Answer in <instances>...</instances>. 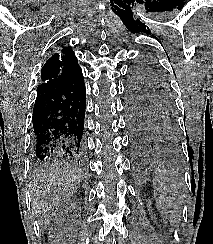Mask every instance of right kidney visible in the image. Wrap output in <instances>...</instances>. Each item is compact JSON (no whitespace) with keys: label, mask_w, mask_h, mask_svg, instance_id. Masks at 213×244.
<instances>
[{"label":"right kidney","mask_w":213,"mask_h":244,"mask_svg":"<svg viewBox=\"0 0 213 244\" xmlns=\"http://www.w3.org/2000/svg\"><path fill=\"white\" fill-rule=\"evenodd\" d=\"M80 204L81 203L78 200L71 201V202L67 203L66 209H68V208H80Z\"/></svg>","instance_id":"obj_1"}]
</instances>
